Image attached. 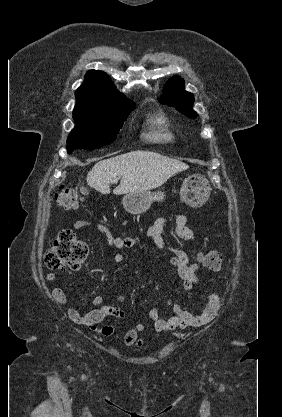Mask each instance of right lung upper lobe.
I'll use <instances>...</instances> for the list:
<instances>
[{"label": "right lung upper lobe", "instance_id": "1", "mask_svg": "<svg viewBox=\"0 0 282 417\" xmlns=\"http://www.w3.org/2000/svg\"><path fill=\"white\" fill-rule=\"evenodd\" d=\"M112 96L125 97L115 88L113 82L106 73L96 70L87 72L84 83L76 91L77 98Z\"/></svg>", "mask_w": 282, "mask_h": 417}]
</instances>
